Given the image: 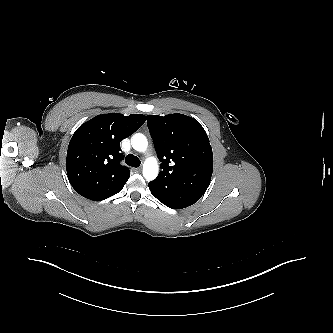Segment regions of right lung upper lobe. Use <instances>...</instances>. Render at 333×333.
Here are the masks:
<instances>
[{
    "instance_id": "cb5924a9",
    "label": "right lung upper lobe",
    "mask_w": 333,
    "mask_h": 333,
    "mask_svg": "<svg viewBox=\"0 0 333 333\" xmlns=\"http://www.w3.org/2000/svg\"><path fill=\"white\" fill-rule=\"evenodd\" d=\"M142 114L98 115L82 124L72 136L66 158L68 179L77 193L104 200L122 190L130 171L120 164V142L145 122Z\"/></svg>"
}]
</instances>
